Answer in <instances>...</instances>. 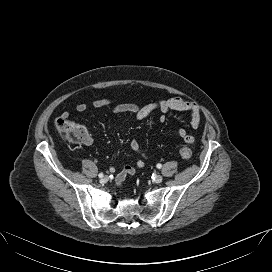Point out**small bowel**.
<instances>
[{
	"instance_id": "1",
	"label": "small bowel",
	"mask_w": 272,
	"mask_h": 272,
	"mask_svg": "<svg viewBox=\"0 0 272 272\" xmlns=\"http://www.w3.org/2000/svg\"><path fill=\"white\" fill-rule=\"evenodd\" d=\"M92 106L95 108H104L112 106V112L114 114L121 113H133L138 120H143L147 118L154 111H160L162 115L160 116V121H165V113L170 110L187 112L190 120V124L192 128L197 129L201 124V113L199 106L190 101H186L179 97H173L169 99H160L155 102L149 103L145 106H139L135 103H119L115 104L110 99H96L92 102ZM87 104L84 102H80L76 105L75 109L78 112H84L87 109ZM70 113L68 111H64L61 114L63 118H69ZM178 135L188 144H192L194 142V137L191 134H188L184 128L178 129ZM130 148L133 152L136 153L137 159L135 161V165H125L115 177L117 184H122L123 181L128 176H132L137 172V169H141L145 165V160L147 159V155L142 150L139 142L137 140H132L130 142ZM111 172H115L116 168L111 167Z\"/></svg>"
}]
</instances>
